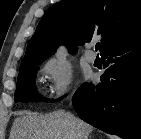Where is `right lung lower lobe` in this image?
Instances as JSON below:
<instances>
[{"label": "right lung lower lobe", "mask_w": 141, "mask_h": 139, "mask_svg": "<svg viewBox=\"0 0 141 139\" xmlns=\"http://www.w3.org/2000/svg\"><path fill=\"white\" fill-rule=\"evenodd\" d=\"M107 59L97 85L85 83L73 96L79 117L124 139H141V36L101 54Z\"/></svg>", "instance_id": "obj_1"}]
</instances>
